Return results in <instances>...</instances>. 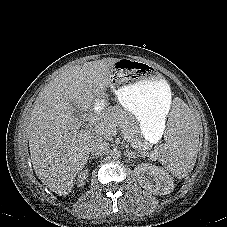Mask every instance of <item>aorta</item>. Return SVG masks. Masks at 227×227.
Listing matches in <instances>:
<instances>
[{
    "label": "aorta",
    "mask_w": 227,
    "mask_h": 227,
    "mask_svg": "<svg viewBox=\"0 0 227 227\" xmlns=\"http://www.w3.org/2000/svg\"><path fill=\"white\" fill-rule=\"evenodd\" d=\"M110 155L113 159H119L121 157V151L117 148L111 150Z\"/></svg>",
    "instance_id": "762f6f07"
}]
</instances>
